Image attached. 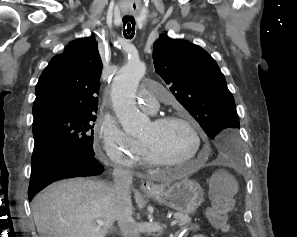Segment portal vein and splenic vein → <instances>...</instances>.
Here are the masks:
<instances>
[{
	"instance_id": "portal-vein-and-splenic-vein-1",
	"label": "portal vein and splenic vein",
	"mask_w": 297,
	"mask_h": 237,
	"mask_svg": "<svg viewBox=\"0 0 297 237\" xmlns=\"http://www.w3.org/2000/svg\"><path fill=\"white\" fill-rule=\"evenodd\" d=\"M97 222V224H98V228H101L102 226H104V225H106L105 224V222H103V221H101V220H97L96 221ZM178 223V220H173L172 222H171V226H174V225H176Z\"/></svg>"
}]
</instances>
